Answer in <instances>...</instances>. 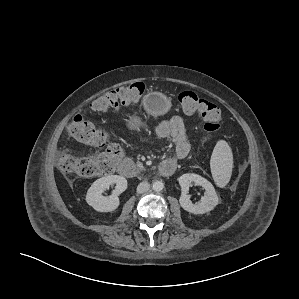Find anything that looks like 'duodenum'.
Returning a JSON list of instances; mask_svg holds the SVG:
<instances>
[{"label":"duodenum","instance_id":"obj_1","mask_svg":"<svg viewBox=\"0 0 299 299\" xmlns=\"http://www.w3.org/2000/svg\"><path fill=\"white\" fill-rule=\"evenodd\" d=\"M176 169V163L172 160H164L158 166V172L162 176H170ZM118 172L125 177H133L135 173L134 166L131 161L123 160L118 166Z\"/></svg>","mask_w":299,"mask_h":299}]
</instances>
